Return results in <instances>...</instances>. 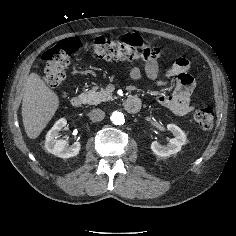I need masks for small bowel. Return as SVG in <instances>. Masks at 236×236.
I'll use <instances>...</instances> for the list:
<instances>
[{"label":"small bowel","mask_w":236,"mask_h":236,"mask_svg":"<svg viewBox=\"0 0 236 236\" xmlns=\"http://www.w3.org/2000/svg\"><path fill=\"white\" fill-rule=\"evenodd\" d=\"M123 40L143 45L142 39L137 35L128 34L124 36ZM145 73L148 78L161 85L166 84L171 79L176 81V88L172 95H161L158 97L157 102L160 105L180 116L186 115L193 110L194 104L191 101V95L195 82L190 74V63L186 58L179 57L176 59L162 78L159 77L160 71L156 60L146 62ZM130 77L134 80H140L142 77L141 70L133 67L130 70Z\"/></svg>","instance_id":"1"}]
</instances>
